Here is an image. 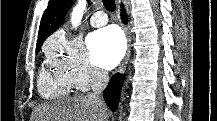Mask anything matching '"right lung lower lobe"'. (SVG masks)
I'll return each instance as SVG.
<instances>
[{
    "label": "right lung lower lobe",
    "mask_w": 217,
    "mask_h": 121,
    "mask_svg": "<svg viewBox=\"0 0 217 121\" xmlns=\"http://www.w3.org/2000/svg\"><path fill=\"white\" fill-rule=\"evenodd\" d=\"M121 15L123 22H127V17L125 14V10L121 9ZM123 85V76L119 74H115L106 89L104 90L103 96L106 101V104L112 111H115L118 106L120 92Z\"/></svg>",
    "instance_id": "1"
}]
</instances>
